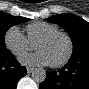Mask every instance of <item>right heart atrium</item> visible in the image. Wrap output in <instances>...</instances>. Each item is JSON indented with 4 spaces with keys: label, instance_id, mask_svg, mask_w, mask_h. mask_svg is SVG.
<instances>
[{
    "label": "right heart atrium",
    "instance_id": "obj_1",
    "mask_svg": "<svg viewBox=\"0 0 89 89\" xmlns=\"http://www.w3.org/2000/svg\"><path fill=\"white\" fill-rule=\"evenodd\" d=\"M4 43L16 57H21L35 47L17 26H12L5 32Z\"/></svg>",
    "mask_w": 89,
    "mask_h": 89
}]
</instances>
